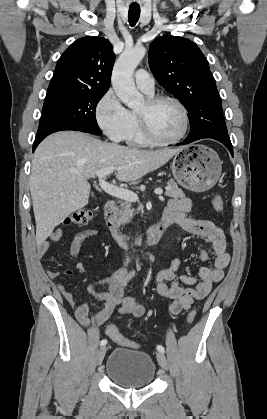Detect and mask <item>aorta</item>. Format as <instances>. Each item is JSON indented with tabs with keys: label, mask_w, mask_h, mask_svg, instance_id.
Wrapping results in <instances>:
<instances>
[{
	"label": "aorta",
	"mask_w": 267,
	"mask_h": 419,
	"mask_svg": "<svg viewBox=\"0 0 267 419\" xmlns=\"http://www.w3.org/2000/svg\"><path fill=\"white\" fill-rule=\"evenodd\" d=\"M145 53L146 49L142 46L125 49L113 67V89L117 97L131 109L139 108L144 103L143 95L135 87L133 73Z\"/></svg>",
	"instance_id": "1"
}]
</instances>
